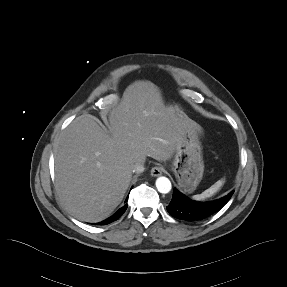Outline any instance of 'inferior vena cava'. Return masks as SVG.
<instances>
[{
    "instance_id": "1",
    "label": "inferior vena cava",
    "mask_w": 287,
    "mask_h": 287,
    "mask_svg": "<svg viewBox=\"0 0 287 287\" xmlns=\"http://www.w3.org/2000/svg\"><path fill=\"white\" fill-rule=\"evenodd\" d=\"M145 170L144 164L143 163H135L132 166V172L133 173H142Z\"/></svg>"
}]
</instances>
